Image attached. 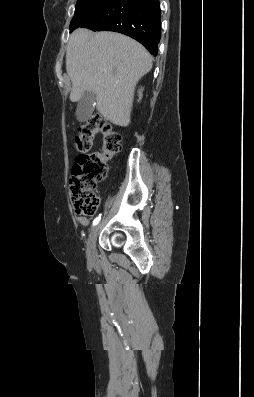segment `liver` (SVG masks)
Returning <instances> with one entry per match:
<instances>
[{
  "label": "liver",
  "instance_id": "1",
  "mask_svg": "<svg viewBox=\"0 0 254 397\" xmlns=\"http://www.w3.org/2000/svg\"><path fill=\"white\" fill-rule=\"evenodd\" d=\"M151 68L148 51L130 37L84 28L70 35L66 52L70 100L93 93L98 112L115 125L130 123L135 87Z\"/></svg>",
  "mask_w": 254,
  "mask_h": 397
}]
</instances>
